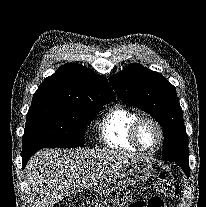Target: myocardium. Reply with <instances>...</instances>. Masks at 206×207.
<instances>
[{
  "label": "myocardium",
  "mask_w": 206,
  "mask_h": 207,
  "mask_svg": "<svg viewBox=\"0 0 206 207\" xmlns=\"http://www.w3.org/2000/svg\"><path fill=\"white\" fill-rule=\"evenodd\" d=\"M145 121H148V122H151L152 124L155 125V127L157 128L158 132H159V143L158 145L154 148V149H151V150H148V149H145L144 147H142L140 141H139V138H138V130H139V127L140 125L145 122ZM130 141L131 143L133 144V146L141 153L145 154V155H153V154H156L161 148L162 146L164 145V142H165V132H164V129H163V126L161 125V123L153 118V117H150V116H139L131 125L130 127Z\"/></svg>",
  "instance_id": "myocardium-1"
}]
</instances>
